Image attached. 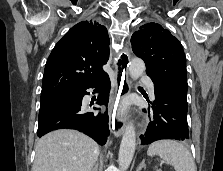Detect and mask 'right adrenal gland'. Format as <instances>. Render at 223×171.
Wrapping results in <instances>:
<instances>
[{"label":"right adrenal gland","mask_w":223,"mask_h":171,"mask_svg":"<svg viewBox=\"0 0 223 171\" xmlns=\"http://www.w3.org/2000/svg\"><path fill=\"white\" fill-rule=\"evenodd\" d=\"M97 169H98V161H97V163L95 164L94 168L91 171H97Z\"/></svg>","instance_id":"2a0ac1e0"}]
</instances>
